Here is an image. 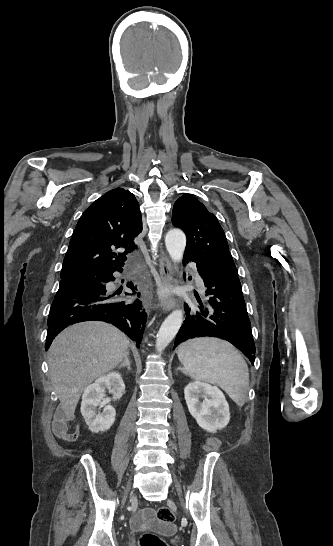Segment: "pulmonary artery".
Masks as SVG:
<instances>
[{
  "instance_id": "e3ab8cb5",
  "label": "pulmonary artery",
  "mask_w": 333,
  "mask_h": 546,
  "mask_svg": "<svg viewBox=\"0 0 333 546\" xmlns=\"http://www.w3.org/2000/svg\"><path fill=\"white\" fill-rule=\"evenodd\" d=\"M196 282L199 286H202L203 285V281L202 279L199 277V276H196Z\"/></svg>"
}]
</instances>
